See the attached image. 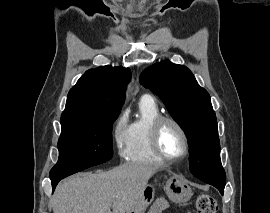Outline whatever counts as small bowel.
I'll list each match as a JSON object with an SVG mask.
<instances>
[{"mask_svg":"<svg viewBox=\"0 0 270 213\" xmlns=\"http://www.w3.org/2000/svg\"><path fill=\"white\" fill-rule=\"evenodd\" d=\"M166 207L167 203L164 200H156L151 206L149 213H163Z\"/></svg>","mask_w":270,"mask_h":213,"instance_id":"c3829d8e","label":"small bowel"}]
</instances>
